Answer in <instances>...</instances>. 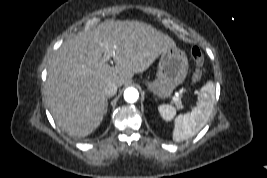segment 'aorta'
I'll use <instances>...</instances> for the list:
<instances>
[{"instance_id": "1", "label": "aorta", "mask_w": 267, "mask_h": 178, "mask_svg": "<svg viewBox=\"0 0 267 178\" xmlns=\"http://www.w3.org/2000/svg\"><path fill=\"white\" fill-rule=\"evenodd\" d=\"M139 98V92L133 87H129L124 91V99L128 103H135Z\"/></svg>"}]
</instances>
